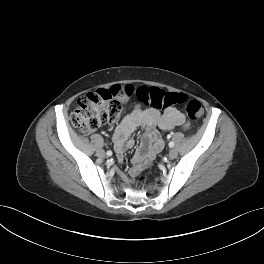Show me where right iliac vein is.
Returning a JSON list of instances; mask_svg holds the SVG:
<instances>
[{
	"mask_svg": "<svg viewBox=\"0 0 264 264\" xmlns=\"http://www.w3.org/2000/svg\"><path fill=\"white\" fill-rule=\"evenodd\" d=\"M96 154L100 158H104L105 157V152L103 150H98Z\"/></svg>",
	"mask_w": 264,
	"mask_h": 264,
	"instance_id": "right-iliac-vein-1",
	"label": "right iliac vein"
}]
</instances>
